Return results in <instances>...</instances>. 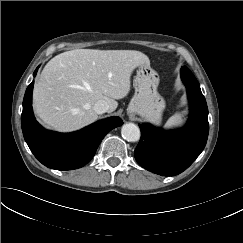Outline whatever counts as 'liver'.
I'll list each match as a JSON object with an SVG mask.
<instances>
[{"instance_id": "6515ba94", "label": "liver", "mask_w": 243, "mask_h": 243, "mask_svg": "<svg viewBox=\"0 0 243 243\" xmlns=\"http://www.w3.org/2000/svg\"><path fill=\"white\" fill-rule=\"evenodd\" d=\"M149 58L135 50L75 49L52 58L34 86L33 107L47 127L60 132L81 129L98 118L94 105L108 112L128 95L131 74Z\"/></svg>"}]
</instances>
